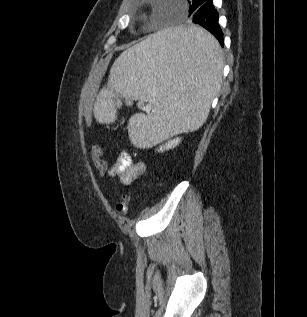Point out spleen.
Returning a JSON list of instances; mask_svg holds the SVG:
<instances>
[{
  "mask_svg": "<svg viewBox=\"0 0 307 317\" xmlns=\"http://www.w3.org/2000/svg\"><path fill=\"white\" fill-rule=\"evenodd\" d=\"M222 68L221 48L202 26L158 29L114 62L111 92L97 97L95 117L100 123L113 122V98L127 96L152 105L151 114L129 120V137L135 145L147 146L171 133L197 130L221 87Z\"/></svg>",
  "mask_w": 307,
  "mask_h": 317,
  "instance_id": "1",
  "label": "spleen"
}]
</instances>
